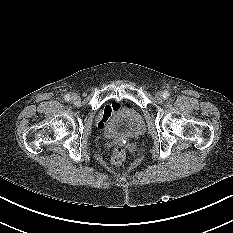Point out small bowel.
Masks as SVG:
<instances>
[{
  "label": "small bowel",
  "mask_w": 233,
  "mask_h": 233,
  "mask_svg": "<svg viewBox=\"0 0 233 233\" xmlns=\"http://www.w3.org/2000/svg\"><path fill=\"white\" fill-rule=\"evenodd\" d=\"M121 109V104L118 101H112L107 104L97 117L98 127L103 130L108 121Z\"/></svg>",
  "instance_id": "obj_1"
}]
</instances>
